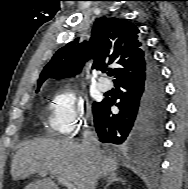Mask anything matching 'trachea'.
Masks as SVG:
<instances>
[{
  "mask_svg": "<svg viewBox=\"0 0 188 189\" xmlns=\"http://www.w3.org/2000/svg\"><path fill=\"white\" fill-rule=\"evenodd\" d=\"M108 75H109V76H113V75H114V72H108Z\"/></svg>",
  "mask_w": 188,
  "mask_h": 189,
  "instance_id": "trachea-1",
  "label": "trachea"
}]
</instances>
